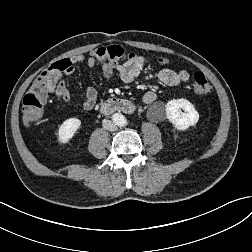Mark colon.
Segmentation results:
<instances>
[{"label": "colon", "mask_w": 252, "mask_h": 252, "mask_svg": "<svg viewBox=\"0 0 252 252\" xmlns=\"http://www.w3.org/2000/svg\"><path fill=\"white\" fill-rule=\"evenodd\" d=\"M91 55L95 61L112 66L136 58L134 54L126 53L120 46L115 45L96 48L91 52ZM158 61L162 64L168 62L166 58H159ZM69 68L70 62L65 59L52 64L38 75L22 101L24 124L31 125L42 118L48 89L55 85L59 81L61 73ZM192 87L194 92L201 96L209 95L212 92L209 81L201 72H197L192 76Z\"/></svg>", "instance_id": "1"}]
</instances>
